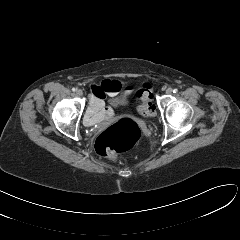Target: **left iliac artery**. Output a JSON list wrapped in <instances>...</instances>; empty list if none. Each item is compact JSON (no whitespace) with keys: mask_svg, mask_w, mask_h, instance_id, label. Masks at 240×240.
Segmentation results:
<instances>
[{"mask_svg":"<svg viewBox=\"0 0 240 240\" xmlns=\"http://www.w3.org/2000/svg\"><path fill=\"white\" fill-rule=\"evenodd\" d=\"M177 92H178V89L175 88V89L173 90V93H177Z\"/></svg>","mask_w":240,"mask_h":240,"instance_id":"obj_1","label":"left iliac artery"}]
</instances>
